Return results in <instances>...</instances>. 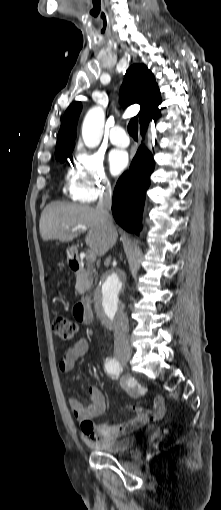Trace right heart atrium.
Wrapping results in <instances>:
<instances>
[{"mask_svg": "<svg viewBox=\"0 0 221 510\" xmlns=\"http://www.w3.org/2000/svg\"><path fill=\"white\" fill-rule=\"evenodd\" d=\"M66 190L76 202L92 203L111 191V181L100 154L79 149L66 178Z\"/></svg>", "mask_w": 221, "mask_h": 510, "instance_id": "obj_1", "label": "right heart atrium"}]
</instances>
